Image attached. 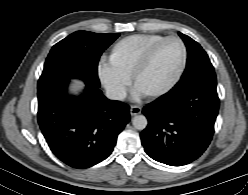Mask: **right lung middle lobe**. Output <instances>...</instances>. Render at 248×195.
I'll return each instance as SVG.
<instances>
[{"label":"right lung middle lobe","instance_id":"dd1d6c3e","mask_svg":"<svg viewBox=\"0 0 248 195\" xmlns=\"http://www.w3.org/2000/svg\"><path fill=\"white\" fill-rule=\"evenodd\" d=\"M119 35L88 31L70 34L52 47L38 81V89L71 78H80L88 85L100 87L97 74L99 58Z\"/></svg>","mask_w":248,"mask_h":195}]
</instances>
